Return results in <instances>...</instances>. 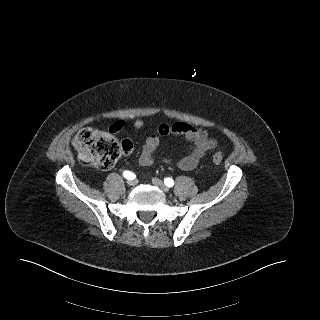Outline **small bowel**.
<instances>
[{
	"label": "small bowel",
	"instance_id": "c3829d8e",
	"mask_svg": "<svg viewBox=\"0 0 320 320\" xmlns=\"http://www.w3.org/2000/svg\"><path fill=\"white\" fill-rule=\"evenodd\" d=\"M115 125L118 126V128L114 129V132H117L121 129V123H115L112 126ZM133 127L139 131L144 127V122L142 120H136L133 123ZM157 131L158 135H149L145 139L143 150L139 157V164L141 166H150L154 163V153L160 144L161 137H166L171 134L183 136L190 143L188 154L177 162L178 168L184 171L195 169L205 154L217 147L216 139L211 137L206 130L193 127L186 123L161 124Z\"/></svg>",
	"mask_w": 320,
	"mask_h": 320
}]
</instances>
